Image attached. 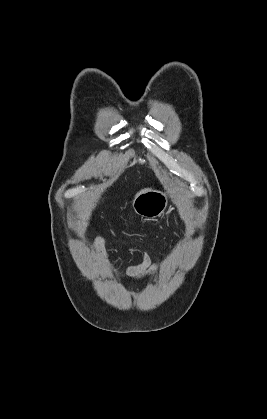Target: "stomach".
Listing matches in <instances>:
<instances>
[{
	"instance_id": "0dacf381",
	"label": "stomach",
	"mask_w": 267,
	"mask_h": 419,
	"mask_svg": "<svg viewBox=\"0 0 267 419\" xmlns=\"http://www.w3.org/2000/svg\"><path fill=\"white\" fill-rule=\"evenodd\" d=\"M167 206V195L157 190H146L139 193L132 203L136 214L149 219L160 217L164 214Z\"/></svg>"
}]
</instances>
